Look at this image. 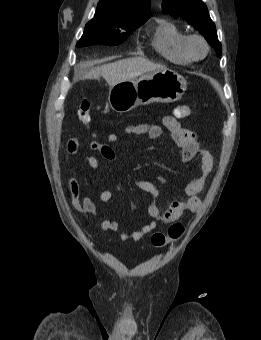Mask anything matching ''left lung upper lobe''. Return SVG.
I'll list each match as a JSON object with an SVG mask.
<instances>
[{"instance_id": "left-lung-upper-lobe-1", "label": "left lung upper lobe", "mask_w": 261, "mask_h": 340, "mask_svg": "<svg viewBox=\"0 0 261 340\" xmlns=\"http://www.w3.org/2000/svg\"><path fill=\"white\" fill-rule=\"evenodd\" d=\"M163 11L181 17L201 33L215 49L219 57L222 55L216 27L211 20L206 5L202 0H163Z\"/></svg>"}]
</instances>
